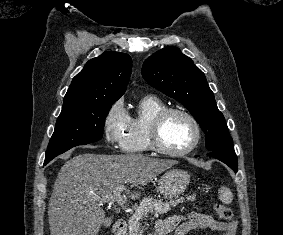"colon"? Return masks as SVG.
<instances>
[{"instance_id": "1", "label": "colon", "mask_w": 283, "mask_h": 235, "mask_svg": "<svg viewBox=\"0 0 283 235\" xmlns=\"http://www.w3.org/2000/svg\"><path fill=\"white\" fill-rule=\"evenodd\" d=\"M214 211L218 215V217L223 221H231L233 218L232 210L223 204L215 203L214 204Z\"/></svg>"}]
</instances>
